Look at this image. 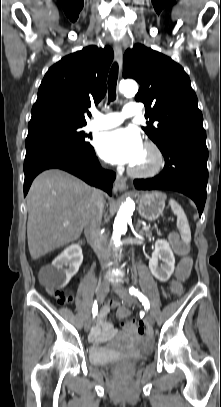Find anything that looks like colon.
<instances>
[{
    "mask_svg": "<svg viewBox=\"0 0 221 407\" xmlns=\"http://www.w3.org/2000/svg\"><path fill=\"white\" fill-rule=\"evenodd\" d=\"M172 244L175 250L182 254L181 260L178 261L176 265V280L173 281L169 288L171 289V294L176 295V298H179V295H183L187 289V279L191 278L193 271L192 265L195 261L193 255H185L188 252V246L184 242L180 241L176 235L171 237ZM60 304H66L70 302L71 297L65 291H48ZM117 317L120 322H122V328L126 330H132L134 337H137L143 333V327L139 325L137 320H132V315L128 310L126 305L117 306Z\"/></svg>",
    "mask_w": 221,
    "mask_h": 407,
    "instance_id": "5ec220e1",
    "label": "colon"
}]
</instances>
